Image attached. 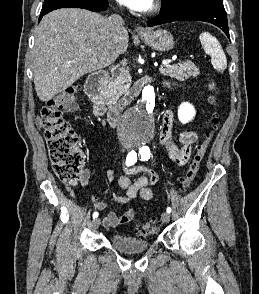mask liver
<instances>
[{
	"mask_svg": "<svg viewBox=\"0 0 259 294\" xmlns=\"http://www.w3.org/2000/svg\"><path fill=\"white\" fill-rule=\"evenodd\" d=\"M33 77L43 102L80 77L111 65L128 48L124 28L117 37L108 18L84 9L65 8L45 15L34 33Z\"/></svg>",
	"mask_w": 259,
	"mask_h": 294,
	"instance_id": "obj_1",
	"label": "liver"
}]
</instances>
